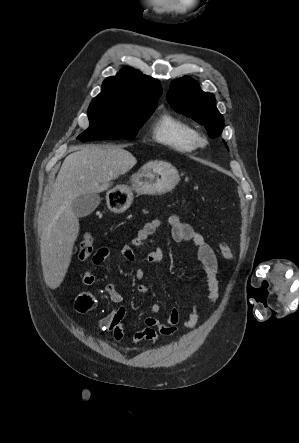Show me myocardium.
I'll list each match as a JSON object with an SVG mask.
<instances>
[{
	"label": "myocardium",
	"instance_id": "f54148a6",
	"mask_svg": "<svg viewBox=\"0 0 299 443\" xmlns=\"http://www.w3.org/2000/svg\"><path fill=\"white\" fill-rule=\"evenodd\" d=\"M196 145L197 147H204L206 145V138L200 134H197Z\"/></svg>",
	"mask_w": 299,
	"mask_h": 443
}]
</instances>
